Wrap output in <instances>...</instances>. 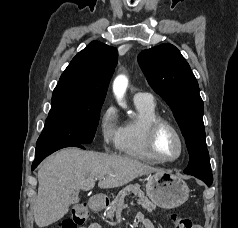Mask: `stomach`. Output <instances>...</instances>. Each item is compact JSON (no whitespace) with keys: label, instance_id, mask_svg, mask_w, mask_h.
<instances>
[{"label":"stomach","instance_id":"obj_1","mask_svg":"<svg viewBox=\"0 0 238 228\" xmlns=\"http://www.w3.org/2000/svg\"><path fill=\"white\" fill-rule=\"evenodd\" d=\"M146 193L154 205L172 209L179 207L188 199L189 188L177 175L162 171L148 177ZM93 207L95 208V205Z\"/></svg>","mask_w":238,"mask_h":228}]
</instances>
